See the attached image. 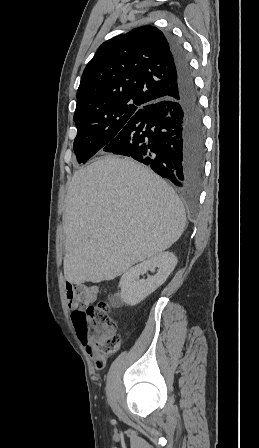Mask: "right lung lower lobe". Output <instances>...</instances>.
<instances>
[{
  "label": "right lung lower lobe",
  "mask_w": 259,
  "mask_h": 448,
  "mask_svg": "<svg viewBox=\"0 0 259 448\" xmlns=\"http://www.w3.org/2000/svg\"><path fill=\"white\" fill-rule=\"evenodd\" d=\"M177 72L169 97L135 114L102 154H119L149 165L178 187L199 184L204 163V128L189 62L180 43L166 34Z\"/></svg>",
  "instance_id": "1"
}]
</instances>
